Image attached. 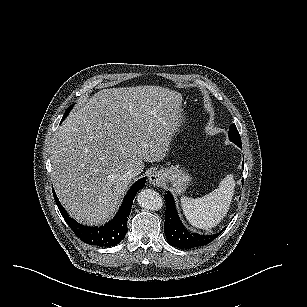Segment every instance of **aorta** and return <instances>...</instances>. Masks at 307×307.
Segmentation results:
<instances>
[{"mask_svg":"<svg viewBox=\"0 0 307 307\" xmlns=\"http://www.w3.org/2000/svg\"><path fill=\"white\" fill-rule=\"evenodd\" d=\"M137 203L140 207L149 210H157L162 206L159 193L153 189L140 190L137 194Z\"/></svg>","mask_w":307,"mask_h":307,"instance_id":"1","label":"aorta"}]
</instances>
